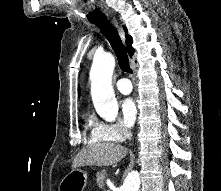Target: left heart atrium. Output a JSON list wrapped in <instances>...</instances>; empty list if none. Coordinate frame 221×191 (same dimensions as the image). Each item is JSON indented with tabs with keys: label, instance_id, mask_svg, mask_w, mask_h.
<instances>
[{
	"label": "left heart atrium",
	"instance_id": "obj_1",
	"mask_svg": "<svg viewBox=\"0 0 221 191\" xmlns=\"http://www.w3.org/2000/svg\"><path fill=\"white\" fill-rule=\"evenodd\" d=\"M121 111L124 122L132 126L137 117V106L133 98L127 97L121 103Z\"/></svg>",
	"mask_w": 221,
	"mask_h": 191
}]
</instances>
